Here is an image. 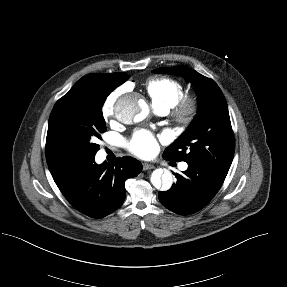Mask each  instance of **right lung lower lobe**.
<instances>
[{
  "label": "right lung lower lobe",
  "mask_w": 287,
  "mask_h": 287,
  "mask_svg": "<svg viewBox=\"0 0 287 287\" xmlns=\"http://www.w3.org/2000/svg\"><path fill=\"white\" fill-rule=\"evenodd\" d=\"M141 171L142 164L130 156L101 165L92 157L56 184L75 209L87 216L102 218L122 205L126 193L124 182Z\"/></svg>",
  "instance_id": "obj_1"
}]
</instances>
